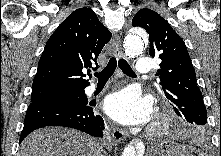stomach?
Returning <instances> with one entry per match:
<instances>
[{
  "instance_id": "stomach-1",
  "label": "stomach",
  "mask_w": 221,
  "mask_h": 156,
  "mask_svg": "<svg viewBox=\"0 0 221 156\" xmlns=\"http://www.w3.org/2000/svg\"><path fill=\"white\" fill-rule=\"evenodd\" d=\"M150 156H193L182 145L173 141H163L150 152Z\"/></svg>"
}]
</instances>
